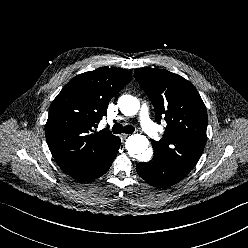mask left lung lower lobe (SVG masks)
<instances>
[{
    "mask_svg": "<svg viewBox=\"0 0 248 248\" xmlns=\"http://www.w3.org/2000/svg\"><path fill=\"white\" fill-rule=\"evenodd\" d=\"M136 170L146 182L158 188L172 186L187 176V173L156 154L151 161L138 163Z\"/></svg>",
    "mask_w": 248,
    "mask_h": 248,
    "instance_id": "1",
    "label": "left lung lower lobe"
}]
</instances>
